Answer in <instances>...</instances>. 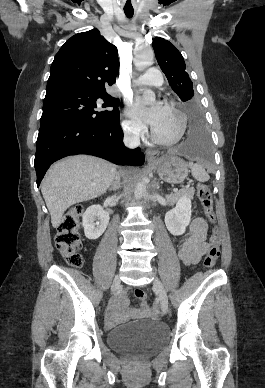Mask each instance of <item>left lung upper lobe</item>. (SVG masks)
I'll use <instances>...</instances> for the list:
<instances>
[{"label":"left lung upper lobe","instance_id":"1","mask_svg":"<svg viewBox=\"0 0 265 388\" xmlns=\"http://www.w3.org/2000/svg\"><path fill=\"white\" fill-rule=\"evenodd\" d=\"M153 48L157 62L166 75L174 92L182 101L187 102V108H198V104L190 101L194 96L193 83L185 71V62L181 53L169 41L156 37Z\"/></svg>","mask_w":265,"mask_h":388}]
</instances>
